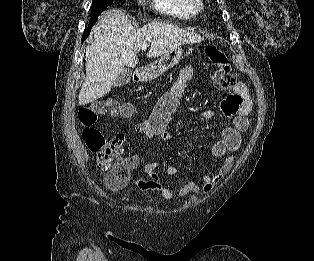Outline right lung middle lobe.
I'll list each match as a JSON object with an SVG mask.
<instances>
[{
    "mask_svg": "<svg viewBox=\"0 0 314 261\" xmlns=\"http://www.w3.org/2000/svg\"><path fill=\"white\" fill-rule=\"evenodd\" d=\"M112 3H113V0H93L91 20H90L89 25H94L98 19V16Z\"/></svg>",
    "mask_w": 314,
    "mask_h": 261,
    "instance_id": "dd1d6c3e",
    "label": "right lung middle lobe"
}]
</instances>
